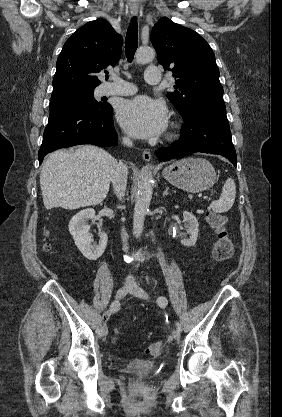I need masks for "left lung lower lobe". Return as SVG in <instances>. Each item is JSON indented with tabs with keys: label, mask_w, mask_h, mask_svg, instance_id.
<instances>
[{
	"label": "left lung lower lobe",
	"mask_w": 282,
	"mask_h": 417,
	"mask_svg": "<svg viewBox=\"0 0 282 417\" xmlns=\"http://www.w3.org/2000/svg\"><path fill=\"white\" fill-rule=\"evenodd\" d=\"M184 125L180 139L170 147L160 148L156 155L160 161H169L193 153L218 154L237 165L226 108L223 99L203 97L192 102L181 114Z\"/></svg>",
	"instance_id": "obj_1"
}]
</instances>
